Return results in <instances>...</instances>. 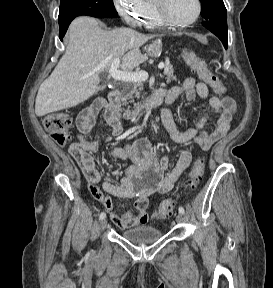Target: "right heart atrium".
<instances>
[{
	"mask_svg": "<svg viewBox=\"0 0 273 288\" xmlns=\"http://www.w3.org/2000/svg\"><path fill=\"white\" fill-rule=\"evenodd\" d=\"M114 6L126 23L136 26L148 10V0H113Z\"/></svg>",
	"mask_w": 273,
	"mask_h": 288,
	"instance_id": "d8ad5b80",
	"label": "right heart atrium"
}]
</instances>
